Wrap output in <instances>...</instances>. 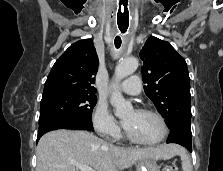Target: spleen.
<instances>
[{"mask_svg": "<svg viewBox=\"0 0 223 171\" xmlns=\"http://www.w3.org/2000/svg\"><path fill=\"white\" fill-rule=\"evenodd\" d=\"M177 154H179L181 157L182 170L183 171H193L191 161L189 159V156L186 154L185 150L178 146Z\"/></svg>", "mask_w": 223, "mask_h": 171, "instance_id": "obj_1", "label": "spleen"}]
</instances>
